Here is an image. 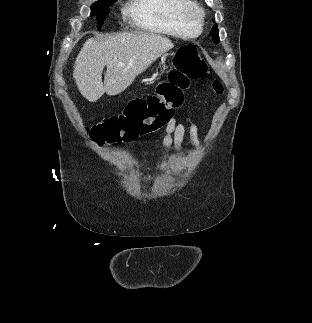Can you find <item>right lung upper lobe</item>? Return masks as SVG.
<instances>
[{
	"instance_id": "obj_1",
	"label": "right lung upper lobe",
	"mask_w": 312,
	"mask_h": 323,
	"mask_svg": "<svg viewBox=\"0 0 312 323\" xmlns=\"http://www.w3.org/2000/svg\"><path fill=\"white\" fill-rule=\"evenodd\" d=\"M110 1H112V0H99V1H97L95 3H108Z\"/></svg>"
}]
</instances>
